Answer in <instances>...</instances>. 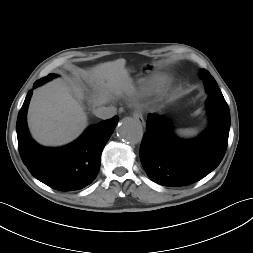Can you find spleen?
<instances>
[{
    "mask_svg": "<svg viewBox=\"0 0 253 253\" xmlns=\"http://www.w3.org/2000/svg\"><path fill=\"white\" fill-rule=\"evenodd\" d=\"M177 133L182 137H193L198 133V131L195 128H186L177 130Z\"/></svg>",
    "mask_w": 253,
    "mask_h": 253,
    "instance_id": "3e777b00",
    "label": "spleen"
}]
</instances>
